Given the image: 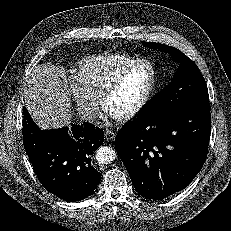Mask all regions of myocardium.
<instances>
[{
	"label": "myocardium",
	"instance_id": "obj_1",
	"mask_svg": "<svg viewBox=\"0 0 231 231\" xmlns=\"http://www.w3.org/2000/svg\"><path fill=\"white\" fill-rule=\"evenodd\" d=\"M141 64H146L150 67L151 73H152L151 82L146 92L142 96V98L132 108H130L129 110L123 113L112 115L116 120H119V121L130 120L131 118L139 114L148 104V102L150 101L151 97L153 96L156 90L157 82H158V73H157V69L154 63L144 58L133 61L132 63L127 65L125 68H123L121 71H119L113 78H111L104 85L99 95L100 104L103 108H105V102L108 99V97L120 87V85L122 84L126 76L130 73V71Z\"/></svg>",
	"mask_w": 231,
	"mask_h": 231
}]
</instances>
